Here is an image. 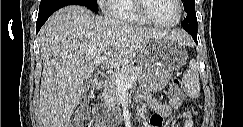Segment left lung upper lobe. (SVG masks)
I'll return each mask as SVG.
<instances>
[{
    "label": "left lung upper lobe",
    "mask_w": 243,
    "mask_h": 127,
    "mask_svg": "<svg viewBox=\"0 0 243 127\" xmlns=\"http://www.w3.org/2000/svg\"><path fill=\"white\" fill-rule=\"evenodd\" d=\"M182 1L184 2L185 11L187 12V17H193L196 19L195 0H182Z\"/></svg>",
    "instance_id": "1"
}]
</instances>
